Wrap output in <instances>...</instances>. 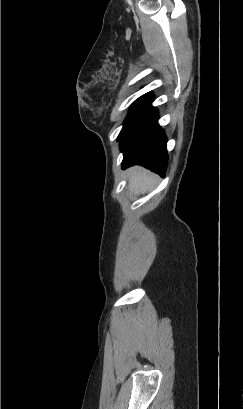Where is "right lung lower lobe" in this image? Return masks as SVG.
Listing matches in <instances>:
<instances>
[{"label":"right lung lower lobe","instance_id":"98d812e1","mask_svg":"<svg viewBox=\"0 0 243 409\" xmlns=\"http://www.w3.org/2000/svg\"><path fill=\"white\" fill-rule=\"evenodd\" d=\"M150 96L132 115L118 136L124 154L123 169L139 164L165 175L167 167L166 137L159 127L158 112L151 106Z\"/></svg>","mask_w":243,"mask_h":409}]
</instances>
